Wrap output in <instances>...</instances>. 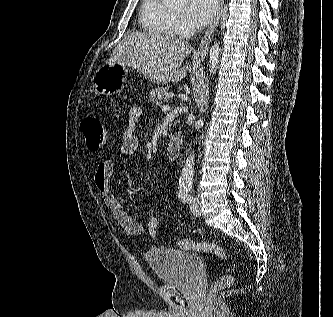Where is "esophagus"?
I'll return each instance as SVG.
<instances>
[{
	"mask_svg": "<svg viewBox=\"0 0 333 317\" xmlns=\"http://www.w3.org/2000/svg\"><path fill=\"white\" fill-rule=\"evenodd\" d=\"M223 4H224V0H219L218 13H217L214 21L211 23L210 27L206 30L205 35L201 40L199 48L196 53V57L203 58L206 55V52L208 50L213 33L215 32V30L219 24V21H220V17L223 12Z\"/></svg>",
	"mask_w": 333,
	"mask_h": 317,
	"instance_id": "34e87169",
	"label": "esophagus"
}]
</instances>
